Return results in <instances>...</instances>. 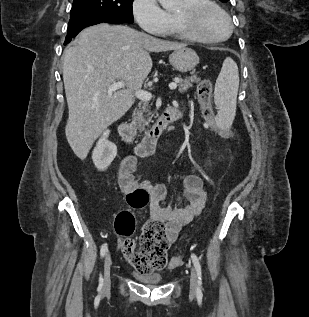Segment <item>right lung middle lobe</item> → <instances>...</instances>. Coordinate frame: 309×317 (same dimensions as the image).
<instances>
[{"label":"right lung middle lobe","mask_w":309,"mask_h":317,"mask_svg":"<svg viewBox=\"0 0 309 317\" xmlns=\"http://www.w3.org/2000/svg\"><path fill=\"white\" fill-rule=\"evenodd\" d=\"M132 2L133 0H74L70 18L100 15L112 17L124 23H132Z\"/></svg>","instance_id":"obj_1"}]
</instances>
